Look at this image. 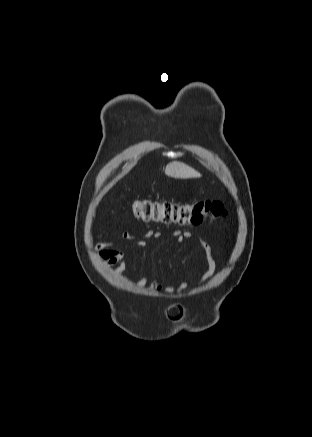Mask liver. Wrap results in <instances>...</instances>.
<instances>
[{"mask_svg":"<svg viewBox=\"0 0 312 437\" xmlns=\"http://www.w3.org/2000/svg\"><path fill=\"white\" fill-rule=\"evenodd\" d=\"M165 174L174 178H199L201 174L186 164L173 161L166 166Z\"/></svg>","mask_w":312,"mask_h":437,"instance_id":"liver-1","label":"liver"}]
</instances>
